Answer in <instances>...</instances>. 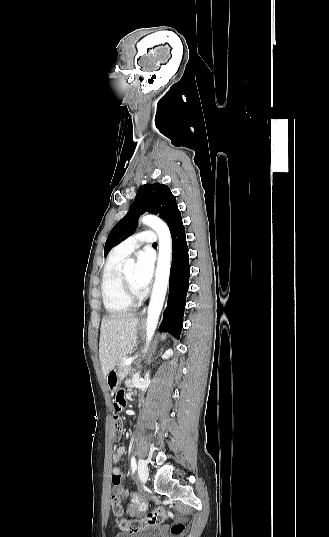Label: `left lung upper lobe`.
Returning <instances> with one entry per match:
<instances>
[{
    "instance_id": "left-lung-upper-lobe-1",
    "label": "left lung upper lobe",
    "mask_w": 329,
    "mask_h": 537,
    "mask_svg": "<svg viewBox=\"0 0 329 537\" xmlns=\"http://www.w3.org/2000/svg\"><path fill=\"white\" fill-rule=\"evenodd\" d=\"M144 212L158 214L169 226L171 234L182 224L176 198L168 186L154 183L141 186L128 213L111 230L104 248V256L121 241L129 237L137 227V220Z\"/></svg>"
}]
</instances>
